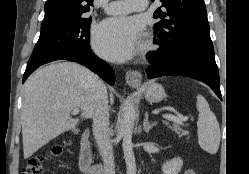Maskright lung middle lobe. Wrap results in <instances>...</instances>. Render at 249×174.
I'll use <instances>...</instances> for the list:
<instances>
[{"label": "right lung middle lobe", "instance_id": "right-lung-middle-lobe-1", "mask_svg": "<svg viewBox=\"0 0 249 174\" xmlns=\"http://www.w3.org/2000/svg\"><path fill=\"white\" fill-rule=\"evenodd\" d=\"M90 18H77L41 26L40 37L30 59L51 51L90 50Z\"/></svg>", "mask_w": 249, "mask_h": 174}]
</instances>
